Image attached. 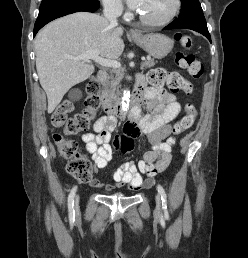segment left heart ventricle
I'll return each mask as SVG.
<instances>
[{
    "label": "left heart ventricle",
    "instance_id": "obj_1",
    "mask_svg": "<svg viewBox=\"0 0 248 258\" xmlns=\"http://www.w3.org/2000/svg\"><path fill=\"white\" fill-rule=\"evenodd\" d=\"M175 0H142L139 14L153 21L165 19L173 11Z\"/></svg>",
    "mask_w": 248,
    "mask_h": 258
}]
</instances>
